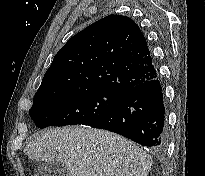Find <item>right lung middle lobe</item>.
I'll return each instance as SVG.
<instances>
[{
    "label": "right lung middle lobe",
    "instance_id": "dd1d6c3e",
    "mask_svg": "<svg viewBox=\"0 0 205 176\" xmlns=\"http://www.w3.org/2000/svg\"><path fill=\"white\" fill-rule=\"evenodd\" d=\"M123 96L122 93L91 88L34 96L29 110L38 128L90 125L103 117Z\"/></svg>",
    "mask_w": 205,
    "mask_h": 176
}]
</instances>
